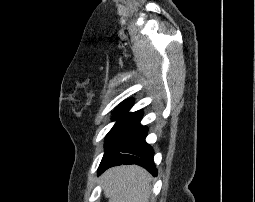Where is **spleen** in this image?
<instances>
[{
  "label": "spleen",
  "mask_w": 255,
  "mask_h": 202,
  "mask_svg": "<svg viewBox=\"0 0 255 202\" xmlns=\"http://www.w3.org/2000/svg\"><path fill=\"white\" fill-rule=\"evenodd\" d=\"M151 177L138 166H122L108 171L103 188L109 202H148Z\"/></svg>",
  "instance_id": "1"
}]
</instances>
